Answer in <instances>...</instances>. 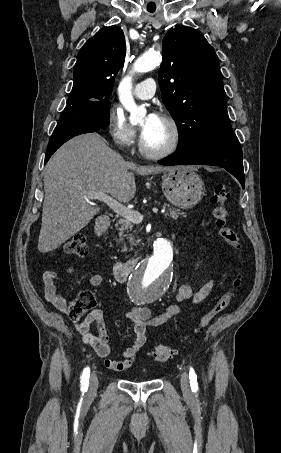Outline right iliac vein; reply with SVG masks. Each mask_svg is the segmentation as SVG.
I'll return each mask as SVG.
<instances>
[{
	"instance_id": "63e3f726",
	"label": "right iliac vein",
	"mask_w": 281,
	"mask_h": 453,
	"mask_svg": "<svg viewBox=\"0 0 281 453\" xmlns=\"http://www.w3.org/2000/svg\"><path fill=\"white\" fill-rule=\"evenodd\" d=\"M98 382H99L98 377L95 374H92L90 376V382H89V387H88V392L89 393H96L97 392Z\"/></svg>"
}]
</instances>
